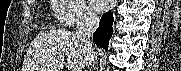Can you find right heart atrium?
<instances>
[{
	"instance_id": "obj_1",
	"label": "right heart atrium",
	"mask_w": 181,
	"mask_h": 71,
	"mask_svg": "<svg viewBox=\"0 0 181 71\" xmlns=\"http://www.w3.org/2000/svg\"><path fill=\"white\" fill-rule=\"evenodd\" d=\"M59 21L65 26L90 24L95 15L84 0H59Z\"/></svg>"
}]
</instances>
